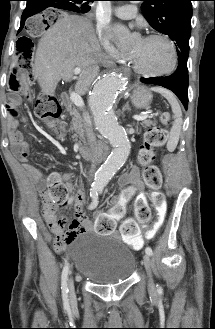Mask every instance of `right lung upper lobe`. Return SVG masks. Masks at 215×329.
<instances>
[{
	"mask_svg": "<svg viewBox=\"0 0 215 329\" xmlns=\"http://www.w3.org/2000/svg\"><path fill=\"white\" fill-rule=\"evenodd\" d=\"M27 1V0H26ZM46 1H54V2H59V1H66V0H46ZM87 1H94V0H87ZM50 4H52V3H50ZM47 7H52V6H50V5H48V4H45V8H47Z\"/></svg>",
	"mask_w": 215,
	"mask_h": 329,
	"instance_id": "cb5924a9",
	"label": "right lung upper lobe"
}]
</instances>
